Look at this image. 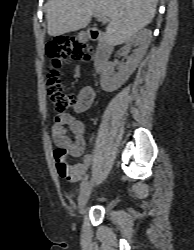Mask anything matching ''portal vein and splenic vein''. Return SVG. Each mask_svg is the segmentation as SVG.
<instances>
[{
    "instance_id": "1",
    "label": "portal vein and splenic vein",
    "mask_w": 194,
    "mask_h": 250,
    "mask_svg": "<svg viewBox=\"0 0 194 250\" xmlns=\"http://www.w3.org/2000/svg\"><path fill=\"white\" fill-rule=\"evenodd\" d=\"M95 17L99 20H101L102 22H107L108 21V18L105 16V15H102L100 13H96L95 14Z\"/></svg>"
}]
</instances>
